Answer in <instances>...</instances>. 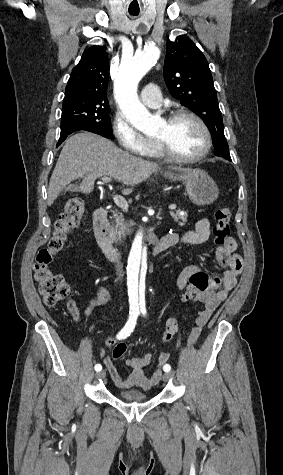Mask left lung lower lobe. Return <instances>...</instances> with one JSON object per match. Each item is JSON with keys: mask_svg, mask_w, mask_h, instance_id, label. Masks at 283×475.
<instances>
[{"mask_svg": "<svg viewBox=\"0 0 283 475\" xmlns=\"http://www.w3.org/2000/svg\"><path fill=\"white\" fill-rule=\"evenodd\" d=\"M212 139H213V145L215 147L214 154L216 156H219L226 160L231 161V157L229 154V147L226 142L225 136L214 135L212 136Z\"/></svg>", "mask_w": 283, "mask_h": 475, "instance_id": "left-lung-lower-lobe-1", "label": "left lung lower lobe"}]
</instances>
